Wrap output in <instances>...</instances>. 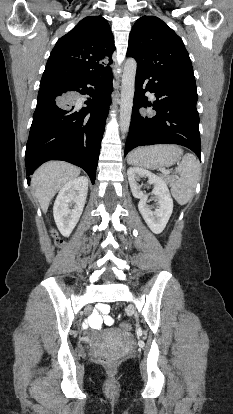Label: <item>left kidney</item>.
Listing matches in <instances>:
<instances>
[{
  "label": "left kidney",
  "instance_id": "5707ae66",
  "mask_svg": "<svg viewBox=\"0 0 233 414\" xmlns=\"http://www.w3.org/2000/svg\"><path fill=\"white\" fill-rule=\"evenodd\" d=\"M127 174L133 196L140 199L138 208L143 219L153 233L160 234L173 211V200L165 181L150 171L139 167L128 168ZM140 176L147 177L148 182L153 185L152 195L158 201V207L155 210L147 205V195L141 191L137 183Z\"/></svg>",
  "mask_w": 233,
  "mask_h": 414
}]
</instances>
